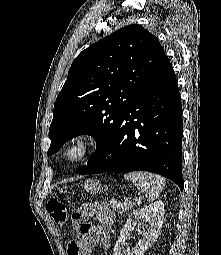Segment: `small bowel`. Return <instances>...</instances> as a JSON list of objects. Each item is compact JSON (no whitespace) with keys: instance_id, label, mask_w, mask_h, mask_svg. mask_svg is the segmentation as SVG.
Listing matches in <instances>:
<instances>
[{"instance_id":"1","label":"small bowel","mask_w":221,"mask_h":255,"mask_svg":"<svg viewBox=\"0 0 221 255\" xmlns=\"http://www.w3.org/2000/svg\"><path fill=\"white\" fill-rule=\"evenodd\" d=\"M91 217L98 224L88 223L83 230L76 229V237L68 244V255H92L98 242L108 248L111 245V232L115 221L113 211L105 203H93Z\"/></svg>"}]
</instances>
